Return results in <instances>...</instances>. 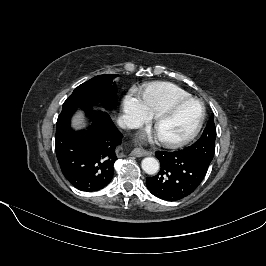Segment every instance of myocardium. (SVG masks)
Here are the masks:
<instances>
[{
	"instance_id": "f54148a6",
	"label": "myocardium",
	"mask_w": 266,
	"mask_h": 266,
	"mask_svg": "<svg viewBox=\"0 0 266 266\" xmlns=\"http://www.w3.org/2000/svg\"><path fill=\"white\" fill-rule=\"evenodd\" d=\"M191 103H197L202 108V114H201V117H200L196 127L193 129V131L190 134H188L187 136H185L181 139L168 140V139L160 138V141L165 146L170 147V148H178V147H182V146L188 144L189 142H191L192 140H194L197 137V135L199 134V132L201 131L203 124L205 122L206 108H205L204 103L201 100L196 99V98H188V99H183V100H180V101L173 103L172 105H170L169 107H167L163 111L159 112L155 116L154 127L157 130L158 126L161 124L162 121H164L168 117L175 114L182 107H184L188 104H191Z\"/></svg>"
}]
</instances>
